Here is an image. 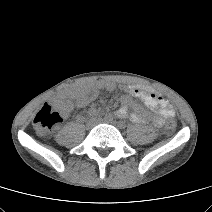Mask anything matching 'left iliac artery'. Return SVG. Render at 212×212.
<instances>
[{"mask_svg": "<svg viewBox=\"0 0 212 212\" xmlns=\"http://www.w3.org/2000/svg\"><path fill=\"white\" fill-rule=\"evenodd\" d=\"M118 125L121 127V128H125L126 127V124L123 122V121H120L118 123Z\"/></svg>", "mask_w": 212, "mask_h": 212, "instance_id": "1", "label": "left iliac artery"}]
</instances>
